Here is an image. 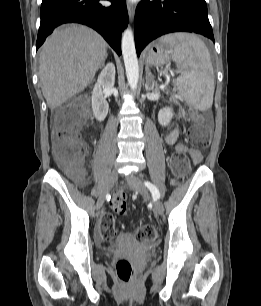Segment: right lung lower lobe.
Returning a JSON list of instances; mask_svg holds the SVG:
<instances>
[{
	"label": "right lung lower lobe",
	"instance_id": "obj_1",
	"mask_svg": "<svg viewBox=\"0 0 261 306\" xmlns=\"http://www.w3.org/2000/svg\"><path fill=\"white\" fill-rule=\"evenodd\" d=\"M109 1L111 6L105 7L100 0H43L36 49L55 27L63 23L77 22L95 29L117 54L121 55V33L128 24L126 2Z\"/></svg>",
	"mask_w": 261,
	"mask_h": 306
}]
</instances>
